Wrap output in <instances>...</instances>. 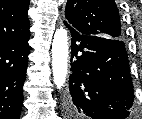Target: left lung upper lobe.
<instances>
[{"mask_svg": "<svg viewBox=\"0 0 142 119\" xmlns=\"http://www.w3.org/2000/svg\"><path fill=\"white\" fill-rule=\"evenodd\" d=\"M66 22L81 34L122 40L119 12L114 0H68Z\"/></svg>", "mask_w": 142, "mask_h": 119, "instance_id": "5c2ea615", "label": "left lung upper lobe"}]
</instances>
